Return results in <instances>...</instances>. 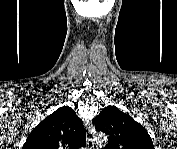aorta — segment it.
<instances>
[{
    "instance_id": "762f6f07",
    "label": "aorta",
    "mask_w": 177,
    "mask_h": 149,
    "mask_svg": "<svg viewBox=\"0 0 177 149\" xmlns=\"http://www.w3.org/2000/svg\"><path fill=\"white\" fill-rule=\"evenodd\" d=\"M97 141L99 143H105L107 141V137L104 134H101L97 137Z\"/></svg>"
}]
</instances>
